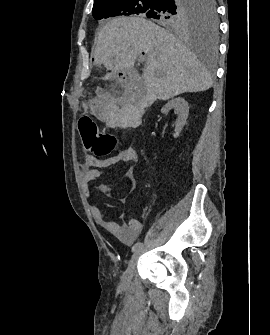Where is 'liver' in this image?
Here are the masks:
<instances>
[{
	"label": "liver",
	"instance_id": "6515ba94",
	"mask_svg": "<svg viewBox=\"0 0 270 335\" xmlns=\"http://www.w3.org/2000/svg\"><path fill=\"white\" fill-rule=\"evenodd\" d=\"M141 52L147 56L140 78L147 102L204 92L213 84L208 70L186 44L142 16H118L107 22L98 34L94 60L113 74L132 72Z\"/></svg>",
	"mask_w": 270,
	"mask_h": 335
}]
</instances>
